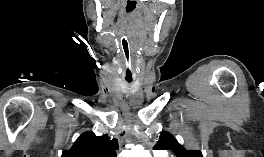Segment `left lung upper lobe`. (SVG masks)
<instances>
[{"instance_id":"obj_1","label":"left lung upper lobe","mask_w":264,"mask_h":157,"mask_svg":"<svg viewBox=\"0 0 264 157\" xmlns=\"http://www.w3.org/2000/svg\"><path fill=\"white\" fill-rule=\"evenodd\" d=\"M155 149L172 150L177 157H203L200 150H187L181 146L177 140L167 132H162Z\"/></svg>"}]
</instances>
